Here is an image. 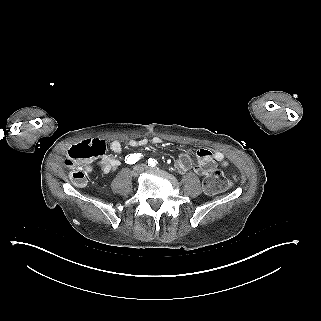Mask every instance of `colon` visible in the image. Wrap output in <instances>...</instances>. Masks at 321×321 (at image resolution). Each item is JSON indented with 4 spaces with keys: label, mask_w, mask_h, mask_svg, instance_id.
I'll return each instance as SVG.
<instances>
[{
    "label": "colon",
    "mask_w": 321,
    "mask_h": 321,
    "mask_svg": "<svg viewBox=\"0 0 321 321\" xmlns=\"http://www.w3.org/2000/svg\"><path fill=\"white\" fill-rule=\"evenodd\" d=\"M103 147L96 142H83L72 146L68 150L67 158L64 163L72 166L73 161L83 158H92L100 156L103 153ZM70 179L74 185L83 187L86 184V175L80 170H72L70 172ZM236 178H226L222 171L213 170L210 172L203 181V188L208 194H216L228 188Z\"/></svg>",
    "instance_id": "5ec220e1"
}]
</instances>
